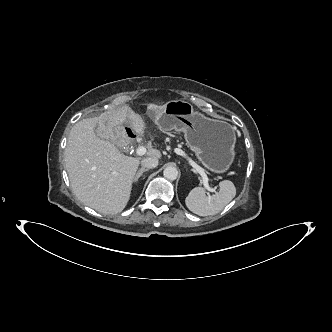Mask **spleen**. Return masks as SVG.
Masks as SVG:
<instances>
[{"label":"spleen","mask_w":332,"mask_h":332,"mask_svg":"<svg viewBox=\"0 0 332 332\" xmlns=\"http://www.w3.org/2000/svg\"><path fill=\"white\" fill-rule=\"evenodd\" d=\"M219 186V192L212 196H207L202 187L192 189L185 199L188 209L199 216L219 213L236 195L233 182L224 180L220 182Z\"/></svg>","instance_id":"3e777b00"}]
</instances>
